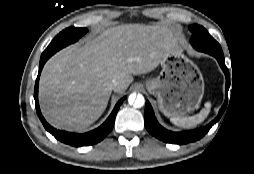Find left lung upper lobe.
Wrapping results in <instances>:
<instances>
[{
  "label": "left lung upper lobe",
  "mask_w": 254,
  "mask_h": 174,
  "mask_svg": "<svg viewBox=\"0 0 254 174\" xmlns=\"http://www.w3.org/2000/svg\"><path fill=\"white\" fill-rule=\"evenodd\" d=\"M189 30L192 32L191 44L198 50L210 55H223L219 43L200 25H191Z\"/></svg>",
  "instance_id": "left-lung-upper-lobe-1"
}]
</instances>
